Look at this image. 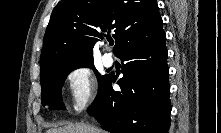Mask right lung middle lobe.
Returning a JSON list of instances; mask_svg holds the SVG:
<instances>
[{"instance_id": "dd1d6c3e", "label": "right lung middle lobe", "mask_w": 221, "mask_h": 133, "mask_svg": "<svg viewBox=\"0 0 221 133\" xmlns=\"http://www.w3.org/2000/svg\"><path fill=\"white\" fill-rule=\"evenodd\" d=\"M80 67H90L94 70L98 85L100 86L107 76H101L95 69L93 62H65L56 65H51L45 68L41 72L40 81L42 87V103L43 105H48L50 109H64L61 97V87L67 75Z\"/></svg>"}]
</instances>
